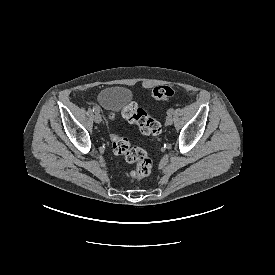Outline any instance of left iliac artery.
<instances>
[{
    "label": "left iliac artery",
    "mask_w": 275,
    "mask_h": 275,
    "mask_svg": "<svg viewBox=\"0 0 275 275\" xmlns=\"http://www.w3.org/2000/svg\"><path fill=\"white\" fill-rule=\"evenodd\" d=\"M173 112H174V110H173L172 108H170V109L167 111V114H168V115H171V114H173Z\"/></svg>",
    "instance_id": "left-iliac-artery-1"
}]
</instances>
